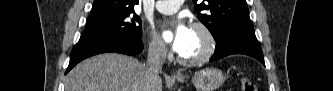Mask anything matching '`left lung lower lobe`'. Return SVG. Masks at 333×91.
Returning a JSON list of instances; mask_svg holds the SVG:
<instances>
[{
    "label": "left lung lower lobe",
    "mask_w": 333,
    "mask_h": 91,
    "mask_svg": "<svg viewBox=\"0 0 333 91\" xmlns=\"http://www.w3.org/2000/svg\"><path fill=\"white\" fill-rule=\"evenodd\" d=\"M216 41V49L210 61L232 54H245L259 60L263 65L264 57L256 39L252 24L240 25L227 30Z\"/></svg>",
    "instance_id": "0a47b994"
}]
</instances>
